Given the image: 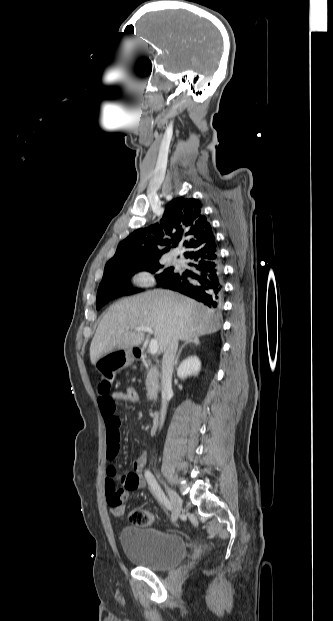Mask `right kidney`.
Wrapping results in <instances>:
<instances>
[{
	"label": "right kidney",
	"instance_id": "1",
	"mask_svg": "<svg viewBox=\"0 0 333 621\" xmlns=\"http://www.w3.org/2000/svg\"><path fill=\"white\" fill-rule=\"evenodd\" d=\"M201 369V362L196 356H189L184 359L177 369L179 378H187V376L197 375Z\"/></svg>",
	"mask_w": 333,
	"mask_h": 621
}]
</instances>
